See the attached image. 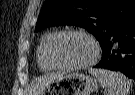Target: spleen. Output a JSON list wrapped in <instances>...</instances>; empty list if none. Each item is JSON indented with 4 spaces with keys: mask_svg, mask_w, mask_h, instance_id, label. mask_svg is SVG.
Returning a JSON list of instances; mask_svg holds the SVG:
<instances>
[{
    "mask_svg": "<svg viewBox=\"0 0 135 95\" xmlns=\"http://www.w3.org/2000/svg\"><path fill=\"white\" fill-rule=\"evenodd\" d=\"M88 72L97 78L102 88H105L106 95H129L132 82L123 74L92 68Z\"/></svg>",
    "mask_w": 135,
    "mask_h": 95,
    "instance_id": "1",
    "label": "spleen"
}]
</instances>
